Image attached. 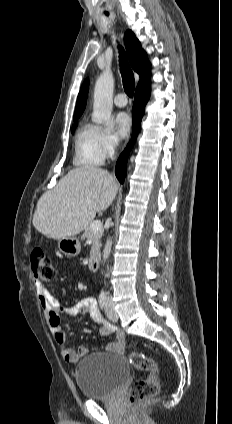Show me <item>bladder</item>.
Here are the masks:
<instances>
[{
    "mask_svg": "<svg viewBox=\"0 0 232 424\" xmlns=\"http://www.w3.org/2000/svg\"><path fill=\"white\" fill-rule=\"evenodd\" d=\"M130 375V365L124 357L101 353L86 356L75 370L78 389L87 399L111 397Z\"/></svg>",
    "mask_w": 232,
    "mask_h": 424,
    "instance_id": "bladder-1",
    "label": "bladder"
}]
</instances>
